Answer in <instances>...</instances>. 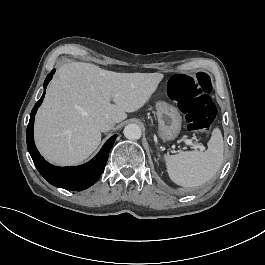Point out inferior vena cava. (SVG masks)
I'll list each match as a JSON object with an SVG mask.
<instances>
[{
  "label": "inferior vena cava",
  "mask_w": 265,
  "mask_h": 265,
  "mask_svg": "<svg viewBox=\"0 0 265 265\" xmlns=\"http://www.w3.org/2000/svg\"><path fill=\"white\" fill-rule=\"evenodd\" d=\"M114 125H115V121L107 116H103L97 119V126L100 129V131H104V132L108 131Z\"/></svg>",
  "instance_id": "inferior-vena-cava-1"
}]
</instances>
